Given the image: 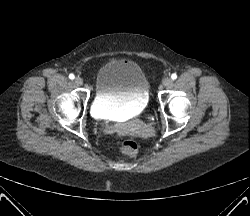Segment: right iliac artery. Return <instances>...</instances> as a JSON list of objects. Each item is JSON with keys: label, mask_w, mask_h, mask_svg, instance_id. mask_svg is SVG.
<instances>
[{"label": "right iliac artery", "mask_w": 250, "mask_h": 216, "mask_svg": "<svg viewBox=\"0 0 250 216\" xmlns=\"http://www.w3.org/2000/svg\"><path fill=\"white\" fill-rule=\"evenodd\" d=\"M69 78H70L71 80H73V79L75 78L74 74H70V75H69Z\"/></svg>", "instance_id": "82829eb1"}]
</instances>
